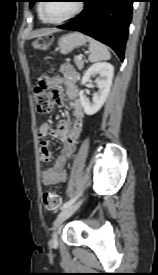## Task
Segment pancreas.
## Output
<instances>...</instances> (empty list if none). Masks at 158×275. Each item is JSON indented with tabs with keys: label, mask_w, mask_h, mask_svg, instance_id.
I'll return each mask as SVG.
<instances>
[{
	"label": "pancreas",
	"mask_w": 158,
	"mask_h": 275,
	"mask_svg": "<svg viewBox=\"0 0 158 275\" xmlns=\"http://www.w3.org/2000/svg\"><path fill=\"white\" fill-rule=\"evenodd\" d=\"M74 60H75V64H76L77 68L79 70H82L84 67V62L82 60L77 59V57H75Z\"/></svg>",
	"instance_id": "cf45deb5"
}]
</instances>
